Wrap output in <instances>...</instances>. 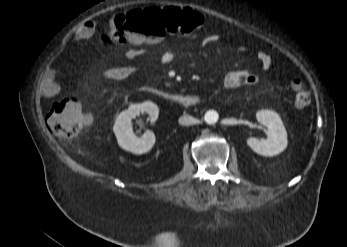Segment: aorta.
Here are the masks:
<instances>
[{
	"instance_id": "762f6f07",
	"label": "aorta",
	"mask_w": 347,
	"mask_h": 247,
	"mask_svg": "<svg viewBox=\"0 0 347 247\" xmlns=\"http://www.w3.org/2000/svg\"><path fill=\"white\" fill-rule=\"evenodd\" d=\"M218 113L214 110H209L206 112L204 119L207 124H215L218 121Z\"/></svg>"
}]
</instances>
